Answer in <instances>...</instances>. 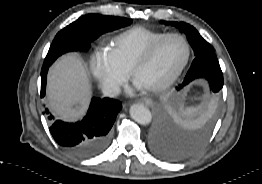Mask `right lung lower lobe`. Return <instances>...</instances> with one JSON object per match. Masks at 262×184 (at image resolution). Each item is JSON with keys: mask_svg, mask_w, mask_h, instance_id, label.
I'll list each match as a JSON object with an SVG mask.
<instances>
[{"mask_svg": "<svg viewBox=\"0 0 262 184\" xmlns=\"http://www.w3.org/2000/svg\"><path fill=\"white\" fill-rule=\"evenodd\" d=\"M49 67L41 70V97L45 95ZM122 105L110 98H92L87 115L78 122L55 120L50 114V133L56 142L78 157H94L107 149L111 140V128ZM48 114V109L45 110Z\"/></svg>", "mask_w": 262, "mask_h": 184, "instance_id": "1", "label": "right lung lower lobe"}]
</instances>
